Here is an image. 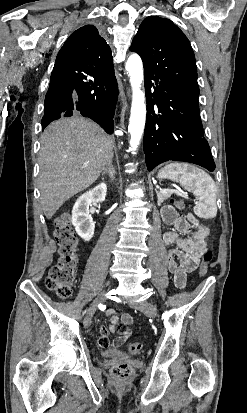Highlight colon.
<instances>
[{
    "label": "colon",
    "instance_id": "obj_1",
    "mask_svg": "<svg viewBox=\"0 0 247 413\" xmlns=\"http://www.w3.org/2000/svg\"><path fill=\"white\" fill-rule=\"evenodd\" d=\"M176 207H182L180 200H169ZM54 235L59 245L60 259L57 264L50 267L45 278L46 287L55 292L62 299L71 295V286L77 280L78 239L71 226L68 214L59 215L55 221ZM213 260V252L207 249L202 254L200 271L206 273L209 270L208 263ZM131 353H137L141 349L139 342L132 341L128 344ZM114 381H131L132 368L127 364L118 365L112 370Z\"/></svg>",
    "mask_w": 247,
    "mask_h": 413
}]
</instances>
